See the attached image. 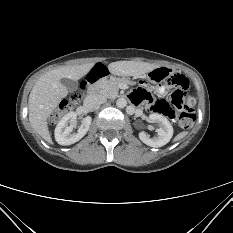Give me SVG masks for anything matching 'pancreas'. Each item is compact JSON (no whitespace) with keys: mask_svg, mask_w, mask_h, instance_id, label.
<instances>
[{"mask_svg":"<svg viewBox=\"0 0 233 233\" xmlns=\"http://www.w3.org/2000/svg\"><path fill=\"white\" fill-rule=\"evenodd\" d=\"M122 82L121 79H102L99 82L100 91L108 98H115L118 94V85Z\"/></svg>","mask_w":233,"mask_h":233,"instance_id":"cf45deb5","label":"pancreas"}]
</instances>
